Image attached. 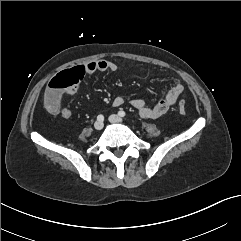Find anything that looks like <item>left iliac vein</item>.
<instances>
[{
    "label": "left iliac vein",
    "mask_w": 241,
    "mask_h": 241,
    "mask_svg": "<svg viewBox=\"0 0 241 241\" xmlns=\"http://www.w3.org/2000/svg\"><path fill=\"white\" fill-rule=\"evenodd\" d=\"M109 121L111 123H122L123 120L118 115L112 114V115L109 116Z\"/></svg>",
    "instance_id": "left-iliac-vein-1"
}]
</instances>
